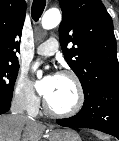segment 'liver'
I'll list each match as a JSON object with an SVG mask.
<instances>
[{
	"instance_id": "obj_1",
	"label": "liver",
	"mask_w": 119,
	"mask_h": 141,
	"mask_svg": "<svg viewBox=\"0 0 119 141\" xmlns=\"http://www.w3.org/2000/svg\"><path fill=\"white\" fill-rule=\"evenodd\" d=\"M45 125L21 115L0 116V141H38Z\"/></svg>"
}]
</instances>
